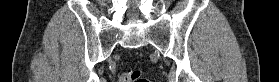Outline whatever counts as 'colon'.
I'll list each match as a JSON object with an SVG mask.
<instances>
[{"mask_svg": "<svg viewBox=\"0 0 279 82\" xmlns=\"http://www.w3.org/2000/svg\"><path fill=\"white\" fill-rule=\"evenodd\" d=\"M119 82H147V80L140 71H129L120 75Z\"/></svg>", "mask_w": 279, "mask_h": 82, "instance_id": "colon-1", "label": "colon"}]
</instances>
